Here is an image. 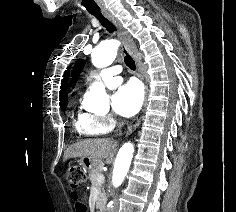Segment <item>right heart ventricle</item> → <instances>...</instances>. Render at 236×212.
<instances>
[{
    "mask_svg": "<svg viewBox=\"0 0 236 212\" xmlns=\"http://www.w3.org/2000/svg\"><path fill=\"white\" fill-rule=\"evenodd\" d=\"M73 125L76 132L82 136L91 137L103 133L98 117L85 111L73 113Z\"/></svg>",
    "mask_w": 236,
    "mask_h": 212,
    "instance_id": "1",
    "label": "right heart ventricle"
}]
</instances>
